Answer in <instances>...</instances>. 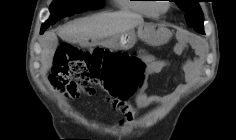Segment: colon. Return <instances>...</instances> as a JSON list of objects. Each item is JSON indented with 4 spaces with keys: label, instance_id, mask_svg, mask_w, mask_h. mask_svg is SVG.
Segmentation results:
<instances>
[{
    "label": "colon",
    "instance_id": "5ec220e1",
    "mask_svg": "<svg viewBox=\"0 0 236 140\" xmlns=\"http://www.w3.org/2000/svg\"><path fill=\"white\" fill-rule=\"evenodd\" d=\"M145 63L127 53L96 48L84 51L64 43L55 54L52 85L72 97L101 88L111 103L126 101L141 86Z\"/></svg>",
    "mask_w": 236,
    "mask_h": 140
}]
</instances>
